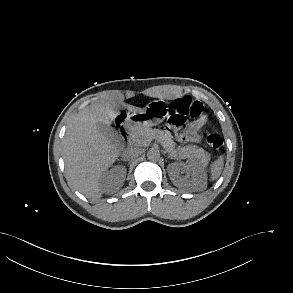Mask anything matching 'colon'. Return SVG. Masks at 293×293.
Here are the masks:
<instances>
[{"label":"colon","instance_id":"1","mask_svg":"<svg viewBox=\"0 0 293 293\" xmlns=\"http://www.w3.org/2000/svg\"><path fill=\"white\" fill-rule=\"evenodd\" d=\"M173 114L168 118L166 129L169 133L175 134L188 118L200 117L204 112V106L200 101L193 100L188 96L179 97L172 102ZM181 136L180 138H182ZM207 144L215 151L222 147L223 140L217 132H207Z\"/></svg>","mask_w":293,"mask_h":293}]
</instances>
